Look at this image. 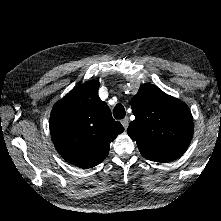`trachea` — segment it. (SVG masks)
<instances>
[{"label":"trachea","instance_id":"trachea-1","mask_svg":"<svg viewBox=\"0 0 221 221\" xmlns=\"http://www.w3.org/2000/svg\"><path fill=\"white\" fill-rule=\"evenodd\" d=\"M115 119H123L125 117V108L122 104H117L113 110Z\"/></svg>","mask_w":221,"mask_h":221}]
</instances>
